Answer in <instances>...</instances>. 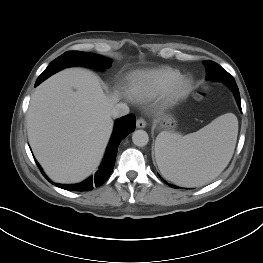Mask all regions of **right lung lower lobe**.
Wrapping results in <instances>:
<instances>
[{
  "mask_svg": "<svg viewBox=\"0 0 263 263\" xmlns=\"http://www.w3.org/2000/svg\"><path fill=\"white\" fill-rule=\"evenodd\" d=\"M52 74L54 73L52 72L46 73V71H44L38 77L35 83V86L39 85L42 81H44L46 78H48ZM135 124H136V119L133 114L124 116L116 121L110 143L108 145L105 157L103 159V162L99 170L97 171L94 177H90L82 183L75 184V185H62V184H57V183L55 184L51 182L47 178V176L43 173L37 161H36V164L38 168L40 169L41 173L45 176V178L48 179L52 184H55L57 187H60L66 190H70V191H89L94 186L98 187L102 185L108 179L114 167L118 146L120 142L122 141V139H124L130 132L135 130Z\"/></svg>",
  "mask_w": 263,
  "mask_h": 263,
  "instance_id": "right-lung-lower-lobe-1",
  "label": "right lung lower lobe"
}]
</instances>
